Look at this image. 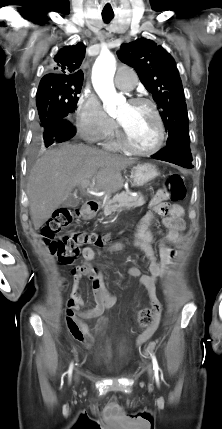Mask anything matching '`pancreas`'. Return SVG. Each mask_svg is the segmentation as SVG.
Returning a JSON list of instances; mask_svg holds the SVG:
<instances>
[{
  "label": "pancreas",
  "mask_w": 222,
  "mask_h": 429,
  "mask_svg": "<svg viewBox=\"0 0 222 429\" xmlns=\"http://www.w3.org/2000/svg\"><path fill=\"white\" fill-rule=\"evenodd\" d=\"M143 204H145V198L142 195L132 196L128 192H122L105 201L103 212L105 216H108L121 208L132 209Z\"/></svg>",
  "instance_id": "obj_1"
}]
</instances>
